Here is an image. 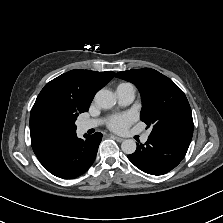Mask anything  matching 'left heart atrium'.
Returning <instances> with one entry per match:
<instances>
[{
  "instance_id": "left-heart-atrium-1",
  "label": "left heart atrium",
  "mask_w": 223,
  "mask_h": 223,
  "mask_svg": "<svg viewBox=\"0 0 223 223\" xmlns=\"http://www.w3.org/2000/svg\"><path fill=\"white\" fill-rule=\"evenodd\" d=\"M135 118V114L130 112L113 115L108 120V126L114 131H123L135 120Z\"/></svg>"
}]
</instances>
